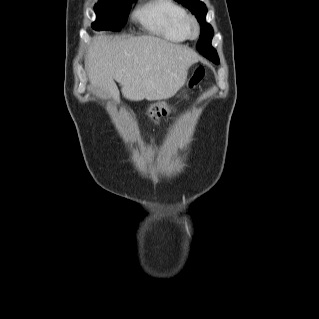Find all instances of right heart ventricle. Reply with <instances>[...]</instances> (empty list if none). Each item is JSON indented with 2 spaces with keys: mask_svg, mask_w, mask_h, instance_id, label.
<instances>
[{
  "mask_svg": "<svg viewBox=\"0 0 319 319\" xmlns=\"http://www.w3.org/2000/svg\"><path fill=\"white\" fill-rule=\"evenodd\" d=\"M186 10L174 0H154L136 13V18L152 34L172 42L187 40L184 21Z\"/></svg>",
  "mask_w": 319,
  "mask_h": 319,
  "instance_id": "obj_1",
  "label": "right heart ventricle"
}]
</instances>
